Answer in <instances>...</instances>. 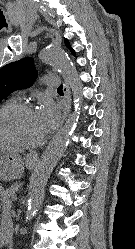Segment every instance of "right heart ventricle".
Masks as SVG:
<instances>
[{
	"label": "right heart ventricle",
	"instance_id": "right-heart-ventricle-1",
	"mask_svg": "<svg viewBox=\"0 0 135 249\" xmlns=\"http://www.w3.org/2000/svg\"><path fill=\"white\" fill-rule=\"evenodd\" d=\"M16 102H18V100L15 97L7 99L0 105V112L7 106ZM8 144H14V143L0 135V145H8Z\"/></svg>",
	"mask_w": 135,
	"mask_h": 249
}]
</instances>
